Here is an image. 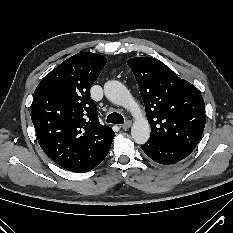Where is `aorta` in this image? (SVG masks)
<instances>
[{
    "mask_svg": "<svg viewBox=\"0 0 233 233\" xmlns=\"http://www.w3.org/2000/svg\"><path fill=\"white\" fill-rule=\"evenodd\" d=\"M104 92L108 100L128 109L134 115L131 136L137 144H145L150 137V125L129 90L121 82L111 80L105 83Z\"/></svg>",
    "mask_w": 233,
    "mask_h": 233,
    "instance_id": "1",
    "label": "aorta"
}]
</instances>
